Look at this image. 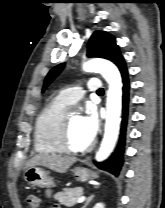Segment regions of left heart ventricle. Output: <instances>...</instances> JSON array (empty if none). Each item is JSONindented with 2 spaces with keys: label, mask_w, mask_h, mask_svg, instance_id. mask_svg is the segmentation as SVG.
<instances>
[{
  "label": "left heart ventricle",
  "mask_w": 165,
  "mask_h": 208,
  "mask_svg": "<svg viewBox=\"0 0 165 208\" xmlns=\"http://www.w3.org/2000/svg\"><path fill=\"white\" fill-rule=\"evenodd\" d=\"M69 142L74 148L86 147L91 141L86 137L82 128V119L79 115H70Z\"/></svg>",
  "instance_id": "left-heart-ventricle-1"
}]
</instances>
